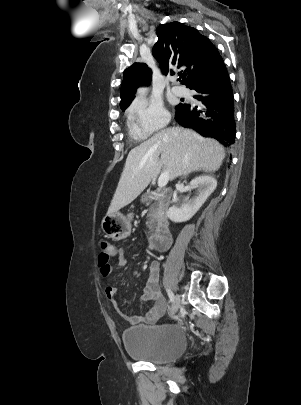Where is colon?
Returning <instances> with one entry per match:
<instances>
[{
    "instance_id": "1",
    "label": "colon",
    "mask_w": 301,
    "mask_h": 405,
    "mask_svg": "<svg viewBox=\"0 0 301 405\" xmlns=\"http://www.w3.org/2000/svg\"><path fill=\"white\" fill-rule=\"evenodd\" d=\"M110 245L108 242L102 240L99 242V250L101 256H107L110 250Z\"/></svg>"
}]
</instances>
